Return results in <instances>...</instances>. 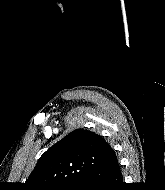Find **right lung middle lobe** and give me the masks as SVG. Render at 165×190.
<instances>
[{"label":"right lung middle lobe","mask_w":165,"mask_h":190,"mask_svg":"<svg viewBox=\"0 0 165 190\" xmlns=\"http://www.w3.org/2000/svg\"><path fill=\"white\" fill-rule=\"evenodd\" d=\"M81 185H82L81 181H78V182L72 183V184H65V185H61V186H55L52 188H48V190H79Z\"/></svg>","instance_id":"right-lung-middle-lobe-1"}]
</instances>
